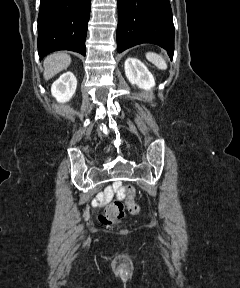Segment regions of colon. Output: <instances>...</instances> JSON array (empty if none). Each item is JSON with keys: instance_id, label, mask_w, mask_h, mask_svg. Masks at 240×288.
<instances>
[{"instance_id": "1", "label": "colon", "mask_w": 240, "mask_h": 288, "mask_svg": "<svg viewBox=\"0 0 240 288\" xmlns=\"http://www.w3.org/2000/svg\"><path fill=\"white\" fill-rule=\"evenodd\" d=\"M125 193L126 201L115 200L105 208L104 213L99 216L101 223L112 225L120 221L124 217L125 206L133 214L138 212L139 207L134 201L136 195L134 187L130 185L125 186Z\"/></svg>"}]
</instances>
